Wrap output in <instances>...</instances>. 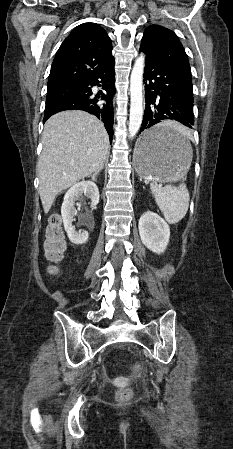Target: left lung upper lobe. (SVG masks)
Returning <instances> with one entry per match:
<instances>
[{"instance_id": "obj_1", "label": "left lung upper lobe", "mask_w": 233, "mask_h": 449, "mask_svg": "<svg viewBox=\"0 0 233 449\" xmlns=\"http://www.w3.org/2000/svg\"><path fill=\"white\" fill-rule=\"evenodd\" d=\"M140 50L150 59L191 81L188 56L172 30L160 25L147 27L141 40Z\"/></svg>"}]
</instances>
